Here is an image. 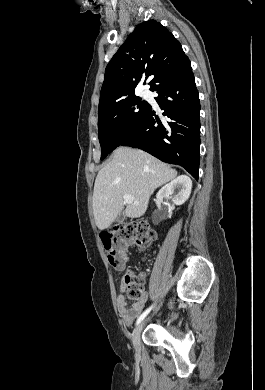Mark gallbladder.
I'll return each instance as SVG.
<instances>
[{"instance_id": "1", "label": "gallbladder", "mask_w": 265, "mask_h": 390, "mask_svg": "<svg viewBox=\"0 0 265 390\" xmlns=\"http://www.w3.org/2000/svg\"><path fill=\"white\" fill-rule=\"evenodd\" d=\"M124 220H125V213H124V211H121V212L117 215V217H116V223L121 224V223L124 222Z\"/></svg>"}]
</instances>
